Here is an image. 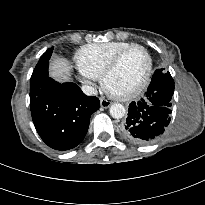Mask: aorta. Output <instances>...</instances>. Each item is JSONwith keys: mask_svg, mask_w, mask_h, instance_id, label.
Wrapping results in <instances>:
<instances>
[{"mask_svg": "<svg viewBox=\"0 0 205 205\" xmlns=\"http://www.w3.org/2000/svg\"><path fill=\"white\" fill-rule=\"evenodd\" d=\"M126 110L122 104L114 103L110 107V115L115 119H121L125 116Z\"/></svg>", "mask_w": 205, "mask_h": 205, "instance_id": "762f6f07", "label": "aorta"}]
</instances>
